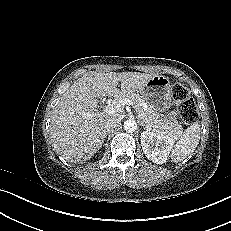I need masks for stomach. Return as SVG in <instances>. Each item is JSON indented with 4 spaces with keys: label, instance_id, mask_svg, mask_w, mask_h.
<instances>
[{
    "label": "stomach",
    "instance_id": "stomach-1",
    "mask_svg": "<svg viewBox=\"0 0 231 231\" xmlns=\"http://www.w3.org/2000/svg\"><path fill=\"white\" fill-rule=\"evenodd\" d=\"M138 93L149 106L157 111L169 108L172 102V84L166 76H153Z\"/></svg>",
    "mask_w": 231,
    "mask_h": 231
}]
</instances>
